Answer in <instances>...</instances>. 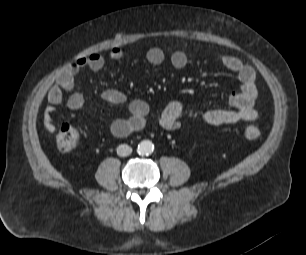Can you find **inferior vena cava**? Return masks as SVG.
Returning a JSON list of instances; mask_svg holds the SVG:
<instances>
[{"instance_id": "inferior-vena-cava-1", "label": "inferior vena cava", "mask_w": 306, "mask_h": 255, "mask_svg": "<svg viewBox=\"0 0 306 255\" xmlns=\"http://www.w3.org/2000/svg\"><path fill=\"white\" fill-rule=\"evenodd\" d=\"M132 153V148L127 144H121L117 147V154L121 157L128 156Z\"/></svg>"}]
</instances>
